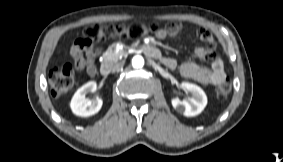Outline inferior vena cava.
<instances>
[{
    "instance_id": "1",
    "label": "inferior vena cava",
    "mask_w": 283,
    "mask_h": 162,
    "mask_svg": "<svg viewBox=\"0 0 283 162\" xmlns=\"http://www.w3.org/2000/svg\"><path fill=\"white\" fill-rule=\"evenodd\" d=\"M122 67H123L122 63H117L112 67L111 71L116 72V71L120 70Z\"/></svg>"
}]
</instances>
